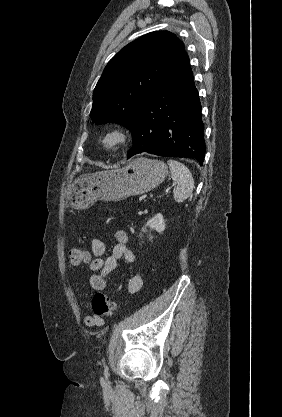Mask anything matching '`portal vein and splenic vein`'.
<instances>
[{"mask_svg": "<svg viewBox=\"0 0 282 417\" xmlns=\"http://www.w3.org/2000/svg\"><path fill=\"white\" fill-rule=\"evenodd\" d=\"M174 184H176V182H174ZM173 184V186H174ZM149 196L148 192H145L144 194H140L139 195V202H142L144 199H146Z\"/></svg>", "mask_w": 282, "mask_h": 417, "instance_id": "1", "label": "portal vein and splenic vein"}]
</instances>
